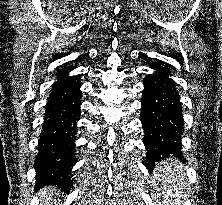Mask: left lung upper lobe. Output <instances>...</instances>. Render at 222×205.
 <instances>
[{"label":"left lung upper lobe","mask_w":222,"mask_h":205,"mask_svg":"<svg viewBox=\"0 0 222 205\" xmlns=\"http://www.w3.org/2000/svg\"><path fill=\"white\" fill-rule=\"evenodd\" d=\"M161 156H164V154H163V152H162V151L158 152L157 157H161Z\"/></svg>","instance_id":"left-lung-upper-lobe-1"}]
</instances>
